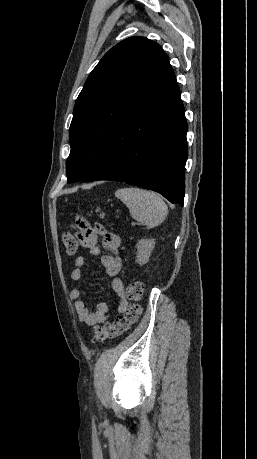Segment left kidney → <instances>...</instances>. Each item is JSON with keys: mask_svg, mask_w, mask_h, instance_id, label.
Masks as SVG:
<instances>
[{"mask_svg": "<svg viewBox=\"0 0 257 459\" xmlns=\"http://www.w3.org/2000/svg\"><path fill=\"white\" fill-rule=\"evenodd\" d=\"M155 246L154 239H141L136 244L137 247V259L136 262L140 265H144L149 261L151 251Z\"/></svg>", "mask_w": 257, "mask_h": 459, "instance_id": "5707ae66", "label": "left kidney"}]
</instances>
